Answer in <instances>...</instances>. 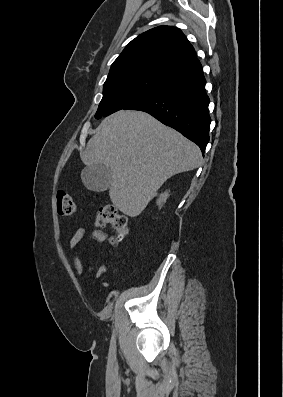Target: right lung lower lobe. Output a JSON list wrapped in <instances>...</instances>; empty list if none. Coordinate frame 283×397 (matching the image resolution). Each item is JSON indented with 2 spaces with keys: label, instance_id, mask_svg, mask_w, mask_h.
Here are the masks:
<instances>
[{
  "label": "right lung lower lobe",
  "instance_id": "obj_1",
  "mask_svg": "<svg viewBox=\"0 0 283 397\" xmlns=\"http://www.w3.org/2000/svg\"><path fill=\"white\" fill-rule=\"evenodd\" d=\"M205 84L201 69L166 83L124 109L149 113L196 143L204 153L211 123Z\"/></svg>",
  "mask_w": 283,
  "mask_h": 397
}]
</instances>
